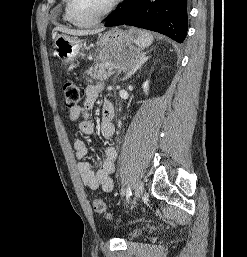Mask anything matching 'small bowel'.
Listing matches in <instances>:
<instances>
[{
  "label": "small bowel",
  "mask_w": 247,
  "mask_h": 257,
  "mask_svg": "<svg viewBox=\"0 0 247 257\" xmlns=\"http://www.w3.org/2000/svg\"><path fill=\"white\" fill-rule=\"evenodd\" d=\"M105 85L98 83L89 85L85 88V101L83 104L71 108L69 119L71 122H78L79 128L83 133L91 134L94 131V123L90 117V110L97 100L99 94L104 91ZM114 110L109 101H106L102 109V119L100 123V133L105 139H112L115 134V127L112 123ZM76 158L79 160L77 169L81 175L85 186L91 190L101 188L105 192L113 189L112 173L115 171L117 151L114 147L108 146L104 151L102 167L93 170L91 164L85 160L88 155V147L84 141L77 139L74 142Z\"/></svg>",
  "instance_id": "obj_1"
}]
</instances>
